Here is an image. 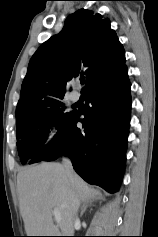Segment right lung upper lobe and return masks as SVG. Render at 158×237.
Wrapping results in <instances>:
<instances>
[{
	"mask_svg": "<svg viewBox=\"0 0 158 237\" xmlns=\"http://www.w3.org/2000/svg\"><path fill=\"white\" fill-rule=\"evenodd\" d=\"M125 51L109 19L80 9L65 20L60 33L44 42L32 56L21 86L16 118L39 113L63 100L69 81L86 78L90 85L125 64ZM85 76V77H84Z\"/></svg>",
	"mask_w": 158,
	"mask_h": 237,
	"instance_id": "cb5924a9",
	"label": "right lung upper lobe"
}]
</instances>
